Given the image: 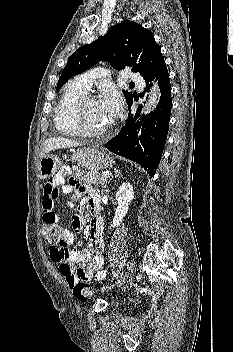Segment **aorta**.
Segmentation results:
<instances>
[{"label":"aorta","mask_w":233,"mask_h":352,"mask_svg":"<svg viewBox=\"0 0 233 352\" xmlns=\"http://www.w3.org/2000/svg\"><path fill=\"white\" fill-rule=\"evenodd\" d=\"M160 96H161V94H160L159 87H158L157 83H154V86L151 89L148 101L145 103V105L142 109V113L148 114L151 111H153L156 108V106L160 100Z\"/></svg>","instance_id":"1"}]
</instances>
